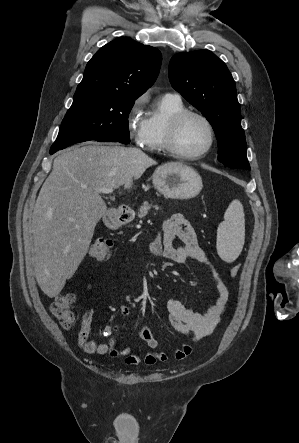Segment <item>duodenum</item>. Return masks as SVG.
Masks as SVG:
<instances>
[{
  "label": "duodenum",
  "mask_w": 299,
  "mask_h": 443,
  "mask_svg": "<svg viewBox=\"0 0 299 443\" xmlns=\"http://www.w3.org/2000/svg\"><path fill=\"white\" fill-rule=\"evenodd\" d=\"M131 218L130 212L127 209L118 208L112 214V222L113 225H120L129 221Z\"/></svg>",
  "instance_id": "410a0bca"
}]
</instances>
